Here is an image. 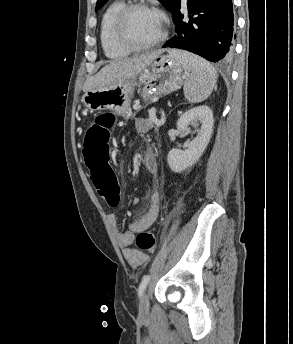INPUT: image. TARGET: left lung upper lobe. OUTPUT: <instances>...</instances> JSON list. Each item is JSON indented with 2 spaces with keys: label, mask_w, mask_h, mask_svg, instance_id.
<instances>
[{
  "label": "left lung upper lobe",
  "mask_w": 293,
  "mask_h": 344,
  "mask_svg": "<svg viewBox=\"0 0 293 344\" xmlns=\"http://www.w3.org/2000/svg\"><path fill=\"white\" fill-rule=\"evenodd\" d=\"M108 0H97L95 11L101 9ZM172 15L175 13L180 0H158Z\"/></svg>",
  "instance_id": "1"
}]
</instances>
